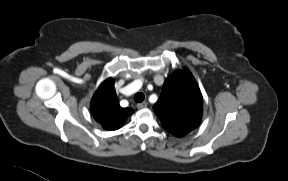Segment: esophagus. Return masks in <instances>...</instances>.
<instances>
[{"mask_svg": "<svg viewBox=\"0 0 288 181\" xmlns=\"http://www.w3.org/2000/svg\"><path fill=\"white\" fill-rule=\"evenodd\" d=\"M147 105H148L147 102L138 103L137 108L138 109H144L147 107Z\"/></svg>", "mask_w": 288, "mask_h": 181, "instance_id": "esophagus-1", "label": "esophagus"}]
</instances>
